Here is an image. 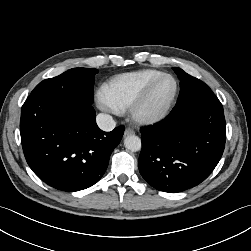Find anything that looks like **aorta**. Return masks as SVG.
Returning a JSON list of instances; mask_svg holds the SVG:
<instances>
[{"label": "aorta", "instance_id": "aorta-1", "mask_svg": "<svg viewBox=\"0 0 251 251\" xmlns=\"http://www.w3.org/2000/svg\"><path fill=\"white\" fill-rule=\"evenodd\" d=\"M124 146L132 152L139 151L141 149V139L136 135H129L124 140Z\"/></svg>", "mask_w": 251, "mask_h": 251}]
</instances>
